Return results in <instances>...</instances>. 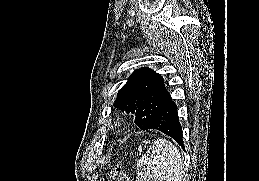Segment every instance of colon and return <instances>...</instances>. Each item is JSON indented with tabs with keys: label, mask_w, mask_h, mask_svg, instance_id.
Instances as JSON below:
<instances>
[{
	"label": "colon",
	"mask_w": 259,
	"mask_h": 181,
	"mask_svg": "<svg viewBox=\"0 0 259 181\" xmlns=\"http://www.w3.org/2000/svg\"><path fill=\"white\" fill-rule=\"evenodd\" d=\"M113 181H131L128 174L119 166H116L111 172Z\"/></svg>",
	"instance_id": "5ec220e1"
}]
</instances>
